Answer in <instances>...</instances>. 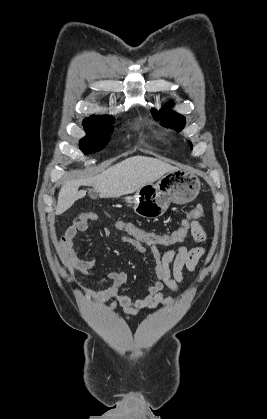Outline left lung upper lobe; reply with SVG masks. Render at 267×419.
Masks as SVG:
<instances>
[{"label":"left lung upper lobe","mask_w":267,"mask_h":419,"mask_svg":"<svg viewBox=\"0 0 267 419\" xmlns=\"http://www.w3.org/2000/svg\"><path fill=\"white\" fill-rule=\"evenodd\" d=\"M169 105L164 106L161 110L157 111L152 109L154 115L163 121V124L174 127L177 131H181L185 126V119L182 115L169 110ZM192 149V144L189 142Z\"/></svg>","instance_id":"left-lung-upper-lobe-1"}]
</instances>
